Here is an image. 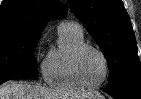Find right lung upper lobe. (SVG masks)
<instances>
[{
    "label": "right lung upper lobe",
    "instance_id": "1",
    "mask_svg": "<svg viewBox=\"0 0 141 99\" xmlns=\"http://www.w3.org/2000/svg\"><path fill=\"white\" fill-rule=\"evenodd\" d=\"M66 14V7L57 0H3L0 33L22 32L41 36L48 20L63 18Z\"/></svg>",
    "mask_w": 141,
    "mask_h": 99
}]
</instances>
